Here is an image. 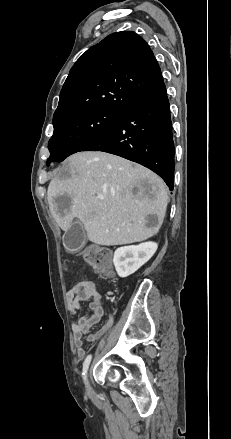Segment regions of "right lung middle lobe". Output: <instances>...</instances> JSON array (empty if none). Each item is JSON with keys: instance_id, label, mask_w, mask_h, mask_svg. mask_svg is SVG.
Instances as JSON below:
<instances>
[{"instance_id": "obj_1", "label": "right lung middle lobe", "mask_w": 231, "mask_h": 439, "mask_svg": "<svg viewBox=\"0 0 231 439\" xmlns=\"http://www.w3.org/2000/svg\"><path fill=\"white\" fill-rule=\"evenodd\" d=\"M123 113L107 109H89L53 119L54 133L48 143L51 162H61L69 155L83 151L100 138Z\"/></svg>"}]
</instances>
